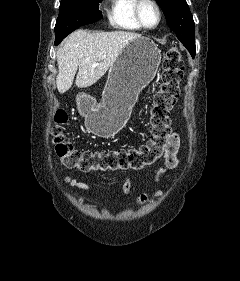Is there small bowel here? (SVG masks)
<instances>
[{
  "mask_svg": "<svg viewBox=\"0 0 240 281\" xmlns=\"http://www.w3.org/2000/svg\"><path fill=\"white\" fill-rule=\"evenodd\" d=\"M180 146V139L177 133H172L170 134L169 137V144H168V149L167 153L165 156V164L158 169V171L155 174L154 180L156 183H159L161 176L167 171L171 169H175L179 165V160L177 157L178 150ZM65 182L69 184L70 186L77 188L81 191L88 192L90 190V186L82 181H78L70 176L65 177ZM133 188V184L129 178H126L123 185H122V190L125 195H128L131 193V190ZM161 195V190H156L154 193V196H159ZM149 196L146 194H142L139 199H138V204H144L148 201Z\"/></svg>",
  "mask_w": 240,
  "mask_h": 281,
  "instance_id": "small-bowel-1",
  "label": "small bowel"
}]
</instances>
